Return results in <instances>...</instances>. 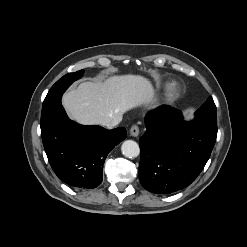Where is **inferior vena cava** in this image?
Instances as JSON below:
<instances>
[{"mask_svg":"<svg viewBox=\"0 0 247 247\" xmlns=\"http://www.w3.org/2000/svg\"><path fill=\"white\" fill-rule=\"evenodd\" d=\"M122 120V117H117L116 119H114L111 123L107 124L106 126L108 128H113L115 127L120 121Z\"/></svg>","mask_w":247,"mask_h":247,"instance_id":"602c4592","label":"inferior vena cava"}]
</instances>
